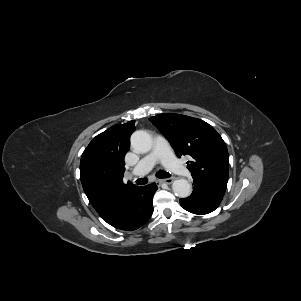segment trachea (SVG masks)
<instances>
[{
    "label": "trachea",
    "mask_w": 301,
    "mask_h": 301,
    "mask_svg": "<svg viewBox=\"0 0 301 301\" xmlns=\"http://www.w3.org/2000/svg\"><path fill=\"white\" fill-rule=\"evenodd\" d=\"M156 176L158 178H169L171 175L168 173V172H165V171H158L156 173ZM148 182V180L146 178H140V179H137L136 180V184L137 185H144Z\"/></svg>",
    "instance_id": "1"
}]
</instances>
